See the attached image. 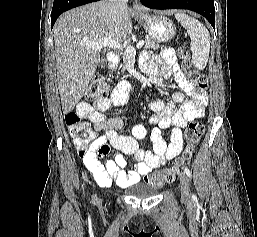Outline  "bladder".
I'll return each instance as SVG.
<instances>
[{"instance_id":"obj_1","label":"bladder","mask_w":257,"mask_h":237,"mask_svg":"<svg viewBox=\"0 0 257 237\" xmlns=\"http://www.w3.org/2000/svg\"><path fill=\"white\" fill-rule=\"evenodd\" d=\"M129 189L130 195L141 199L152 198L158 193V188L142 182L134 183Z\"/></svg>"}]
</instances>
